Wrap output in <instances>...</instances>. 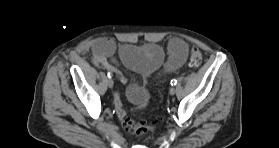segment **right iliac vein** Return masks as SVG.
Instances as JSON below:
<instances>
[{"instance_id":"right-iliac-vein-1","label":"right iliac vein","mask_w":279,"mask_h":148,"mask_svg":"<svg viewBox=\"0 0 279 148\" xmlns=\"http://www.w3.org/2000/svg\"><path fill=\"white\" fill-rule=\"evenodd\" d=\"M107 85L109 86V88H112L114 86V82H113L112 78L107 79Z\"/></svg>"}]
</instances>
